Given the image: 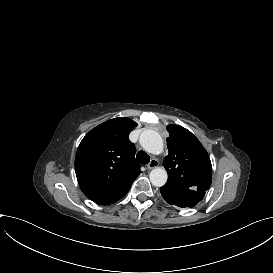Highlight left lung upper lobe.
I'll use <instances>...</instances> for the list:
<instances>
[{
  "label": "left lung upper lobe",
  "instance_id": "1",
  "mask_svg": "<svg viewBox=\"0 0 273 273\" xmlns=\"http://www.w3.org/2000/svg\"><path fill=\"white\" fill-rule=\"evenodd\" d=\"M167 131L169 154L164 159L168 172L165 185L208 190L212 181V165L206 149L190 131L181 126L168 125Z\"/></svg>",
  "mask_w": 273,
  "mask_h": 273
}]
</instances>
